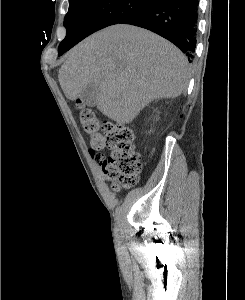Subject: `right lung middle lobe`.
<instances>
[{
	"label": "right lung middle lobe",
	"instance_id": "right-lung-middle-lobe-1",
	"mask_svg": "<svg viewBox=\"0 0 245 300\" xmlns=\"http://www.w3.org/2000/svg\"><path fill=\"white\" fill-rule=\"evenodd\" d=\"M153 0H69L64 18L67 33L60 43L61 56L79 41L107 26L117 24L146 7Z\"/></svg>",
	"mask_w": 245,
	"mask_h": 300
}]
</instances>
